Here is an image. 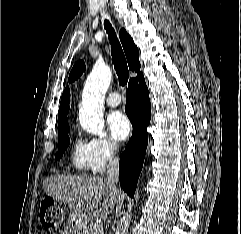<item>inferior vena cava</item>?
<instances>
[{
    "instance_id": "inferior-vena-cava-1",
    "label": "inferior vena cava",
    "mask_w": 241,
    "mask_h": 234,
    "mask_svg": "<svg viewBox=\"0 0 241 234\" xmlns=\"http://www.w3.org/2000/svg\"><path fill=\"white\" fill-rule=\"evenodd\" d=\"M117 146L113 143V151H116ZM118 174H119V159L113 155L109 158V165L107 170V181L112 185V187L116 188V184L118 183ZM123 198L122 195L119 200V208L116 209V214L120 209V204H122Z\"/></svg>"
}]
</instances>
